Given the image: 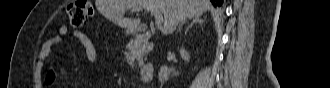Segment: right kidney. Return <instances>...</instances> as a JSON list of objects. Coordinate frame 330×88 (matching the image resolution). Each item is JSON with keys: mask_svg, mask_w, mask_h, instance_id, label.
Instances as JSON below:
<instances>
[{"mask_svg": "<svg viewBox=\"0 0 330 88\" xmlns=\"http://www.w3.org/2000/svg\"><path fill=\"white\" fill-rule=\"evenodd\" d=\"M180 54L184 61H186V62L189 61L190 55L183 47H181V49H180ZM171 74L174 76H177L179 74V72H176L173 69L168 68L167 66H162L158 73V79L160 82H164L169 79V76Z\"/></svg>", "mask_w": 330, "mask_h": 88, "instance_id": "obj_1", "label": "right kidney"}]
</instances>
